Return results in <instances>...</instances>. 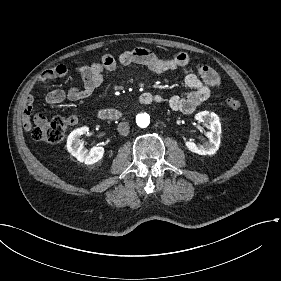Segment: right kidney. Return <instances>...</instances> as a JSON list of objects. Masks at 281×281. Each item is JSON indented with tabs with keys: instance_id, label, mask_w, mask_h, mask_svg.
<instances>
[{
	"instance_id": "right-kidney-1",
	"label": "right kidney",
	"mask_w": 281,
	"mask_h": 281,
	"mask_svg": "<svg viewBox=\"0 0 281 281\" xmlns=\"http://www.w3.org/2000/svg\"><path fill=\"white\" fill-rule=\"evenodd\" d=\"M88 132L89 127L87 126H82L74 130L68 137L67 149L73 156L76 157L78 162L84 163L86 165H92L103 158L105 149L100 146L93 147L90 150L87 149L81 142V137Z\"/></svg>"
}]
</instances>
